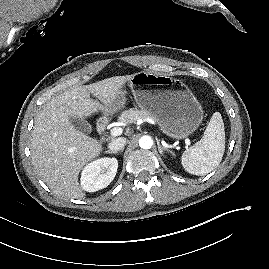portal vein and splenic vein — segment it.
Returning a JSON list of instances; mask_svg holds the SVG:
<instances>
[{"label": "portal vein and splenic vein", "instance_id": "18ae733b", "mask_svg": "<svg viewBox=\"0 0 269 269\" xmlns=\"http://www.w3.org/2000/svg\"><path fill=\"white\" fill-rule=\"evenodd\" d=\"M122 131H123L122 128H120V127H115V128H112V129L110 130V135L113 136V137H116V136L121 135V134H122ZM185 143H186L187 146H190V144H191V142H190L189 139H186V140H185Z\"/></svg>", "mask_w": 269, "mask_h": 269}]
</instances>
